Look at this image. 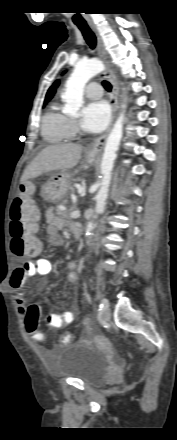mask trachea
<instances>
[{
  "label": "trachea",
  "mask_w": 177,
  "mask_h": 440,
  "mask_svg": "<svg viewBox=\"0 0 177 440\" xmlns=\"http://www.w3.org/2000/svg\"><path fill=\"white\" fill-rule=\"evenodd\" d=\"M78 28L81 30L83 37L91 49L96 46V36L94 32L90 29L87 23H76ZM103 86L107 91H111L112 86L108 81H103Z\"/></svg>",
  "instance_id": "3493384b"
}]
</instances>
